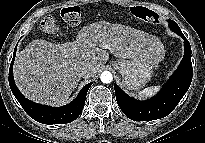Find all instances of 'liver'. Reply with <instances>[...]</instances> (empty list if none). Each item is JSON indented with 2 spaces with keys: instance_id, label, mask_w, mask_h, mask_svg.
I'll return each instance as SVG.
<instances>
[{
  "instance_id": "obj_1",
  "label": "liver",
  "mask_w": 205,
  "mask_h": 143,
  "mask_svg": "<svg viewBox=\"0 0 205 143\" xmlns=\"http://www.w3.org/2000/svg\"><path fill=\"white\" fill-rule=\"evenodd\" d=\"M106 49L118 58L147 56L156 63L162 58L156 56L158 49L164 52L153 35L129 26L98 21L83 27L73 42L53 44L36 39L29 43L14 61L16 85L34 102L60 105L77 86L84 65H92L95 74L104 67L109 59Z\"/></svg>"
}]
</instances>
